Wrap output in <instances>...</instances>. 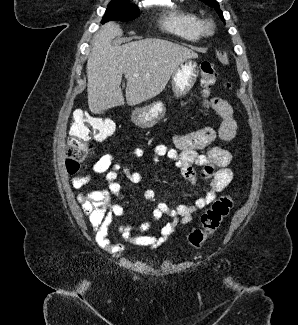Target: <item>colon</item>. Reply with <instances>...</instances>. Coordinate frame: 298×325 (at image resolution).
Listing matches in <instances>:
<instances>
[{"instance_id": "obj_1", "label": "colon", "mask_w": 298, "mask_h": 325, "mask_svg": "<svg viewBox=\"0 0 298 325\" xmlns=\"http://www.w3.org/2000/svg\"><path fill=\"white\" fill-rule=\"evenodd\" d=\"M200 80L205 94L218 80V72L214 64L204 61L200 64ZM230 87V84H227ZM115 132L112 120L91 115L87 111H77L69 124L67 142L66 169L69 174L82 170L92 149V142H101ZM233 208V200L229 196L216 199L210 208L201 216V226L190 232L188 241L194 248L201 247L218 230L223 220Z\"/></svg>"}]
</instances>
